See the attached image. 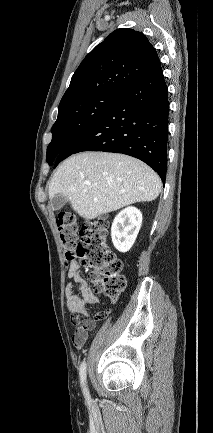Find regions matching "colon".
<instances>
[{
  "label": "colon",
  "instance_id": "5ec220e1",
  "mask_svg": "<svg viewBox=\"0 0 213 433\" xmlns=\"http://www.w3.org/2000/svg\"><path fill=\"white\" fill-rule=\"evenodd\" d=\"M56 222L66 262L72 264L80 260L90 269L89 279L93 284V292L103 293L110 299L116 300L124 290L126 281L122 275V262L107 242V219L99 217L89 221L79 233L75 217L71 213L58 214ZM105 314V312L98 313V318L104 317ZM72 322L77 330L83 327L79 315H73Z\"/></svg>",
  "mask_w": 213,
  "mask_h": 433
}]
</instances>
